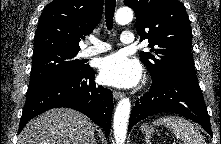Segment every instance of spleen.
I'll use <instances>...</instances> for the list:
<instances>
[{
    "label": "spleen",
    "mask_w": 221,
    "mask_h": 144,
    "mask_svg": "<svg viewBox=\"0 0 221 144\" xmlns=\"http://www.w3.org/2000/svg\"><path fill=\"white\" fill-rule=\"evenodd\" d=\"M154 125H164L180 139L183 144H206L198 129L187 119L168 115L154 121ZM147 144H150L149 136H146Z\"/></svg>",
    "instance_id": "3e777b00"
}]
</instances>
